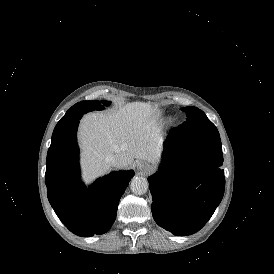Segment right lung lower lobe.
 I'll return each instance as SVG.
<instances>
[{
  "label": "right lung lower lobe",
  "instance_id": "obj_1",
  "mask_svg": "<svg viewBox=\"0 0 274 274\" xmlns=\"http://www.w3.org/2000/svg\"><path fill=\"white\" fill-rule=\"evenodd\" d=\"M52 138L46 159L45 183L48 200L62 223L74 234L90 237L107 232L117 214L119 200L133 171L113 172L87 189L80 180L76 141L79 119Z\"/></svg>",
  "mask_w": 274,
  "mask_h": 274
}]
</instances>
